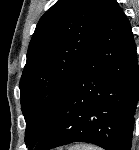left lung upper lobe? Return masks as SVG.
Listing matches in <instances>:
<instances>
[{
	"mask_svg": "<svg viewBox=\"0 0 139 150\" xmlns=\"http://www.w3.org/2000/svg\"><path fill=\"white\" fill-rule=\"evenodd\" d=\"M115 0H58L39 20L19 83L32 149L50 123L62 92L99 34Z\"/></svg>",
	"mask_w": 139,
	"mask_h": 150,
	"instance_id": "1",
	"label": "left lung upper lobe"
}]
</instances>
